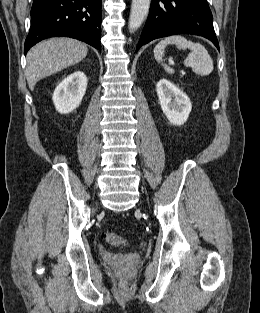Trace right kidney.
<instances>
[{"label":"right kidney","mask_w":260,"mask_h":313,"mask_svg":"<svg viewBox=\"0 0 260 313\" xmlns=\"http://www.w3.org/2000/svg\"><path fill=\"white\" fill-rule=\"evenodd\" d=\"M87 77L82 71H75L64 78L56 87L52 99L61 114L74 111L86 92Z\"/></svg>","instance_id":"ca27d5eb"}]
</instances>
